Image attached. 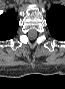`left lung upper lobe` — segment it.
<instances>
[{"label":"left lung upper lobe","mask_w":65,"mask_h":89,"mask_svg":"<svg viewBox=\"0 0 65 89\" xmlns=\"http://www.w3.org/2000/svg\"><path fill=\"white\" fill-rule=\"evenodd\" d=\"M46 14L50 34L59 41H65V7L52 6Z\"/></svg>","instance_id":"obj_1"}]
</instances>
